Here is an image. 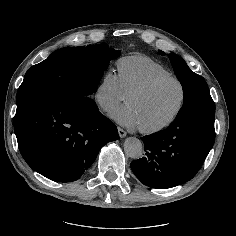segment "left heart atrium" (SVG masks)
Here are the masks:
<instances>
[{"label":"left heart atrium","instance_id":"39dd6f15","mask_svg":"<svg viewBox=\"0 0 236 236\" xmlns=\"http://www.w3.org/2000/svg\"><path fill=\"white\" fill-rule=\"evenodd\" d=\"M111 117L119 124L126 127L139 126L136 111L131 106H126L112 112Z\"/></svg>","mask_w":236,"mask_h":236}]
</instances>
